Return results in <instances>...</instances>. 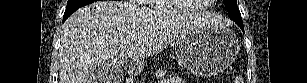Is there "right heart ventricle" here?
I'll return each instance as SVG.
<instances>
[{"label": "right heart ventricle", "instance_id": "obj_1", "mask_svg": "<svg viewBox=\"0 0 307 83\" xmlns=\"http://www.w3.org/2000/svg\"><path fill=\"white\" fill-rule=\"evenodd\" d=\"M151 8L161 11H172V5L170 1L159 0V1H151Z\"/></svg>", "mask_w": 307, "mask_h": 83}]
</instances>
